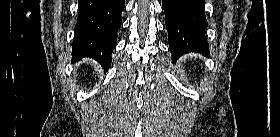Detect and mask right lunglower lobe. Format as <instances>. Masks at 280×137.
Here are the masks:
<instances>
[{
  "mask_svg": "<svg viewBox=\"0 0 280 137\" xmlns=\"http://www.w3.org/2000/svg\"><path fill=\"white\" fill-rule=\"evenodd\" d=\"M76 36L72 43V60L84 57L109 68L117 44L124 0H79Z\"/></svg>",
  "mask_w": 280,
  "mask_h": 137,
  "instance_id": "right-lung-lower-lobe-1",
  "label": "right lung lower lobe"
}]
</instances>
